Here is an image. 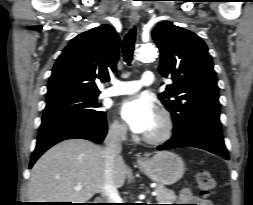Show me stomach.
Masks as SVG:
<instances>
[{"instance_id":"1","label":"stomach","mask_w":253,"mask_h":205,"mask_svg":"<svg viewBox=\"0 0 253 205\" xmlns=\"http://www.w3.org/2000/svg\"><path fill=\"white\" fill-rule=\"evenodd\" d=\"M139 168L153 181L163 185L177 182L185 172L181 157L170 151L156 153L139 163Z\"/></svg>"}]
</instances>
